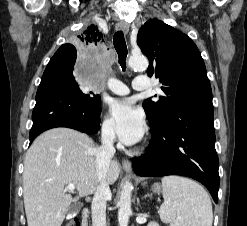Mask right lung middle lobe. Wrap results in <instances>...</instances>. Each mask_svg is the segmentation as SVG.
Wrapping results in <instances>:
<instances>
[{
    "label": "right lung middle lobe",
    "instance_id": "1",
    "mask_svg": "<svg viewBox=\"0 0 247 226\" xmlns=\"http://www.w3.org/2000/svg\"><path fill=\"white\" fill-rule=\"evenodd\" d=\"M76 57H77V55H62L57 59V63L64 65V67L73 76V67H74V64L76 61ZM88 96L90 97V99L93 102H95V103L100 102V96L99 95H95L91 92L90 94H88Z\"/></svg>",
    "mask_w": 247,
    "mask_h": 226
}]
</instances>
